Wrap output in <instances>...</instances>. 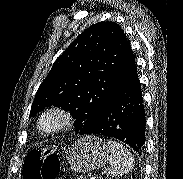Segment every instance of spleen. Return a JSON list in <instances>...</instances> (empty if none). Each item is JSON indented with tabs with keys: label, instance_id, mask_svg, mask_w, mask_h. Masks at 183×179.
<instances>
[{
	"label": "spleen",
	"instance_id": "3e777b00",
	"mask_svg": "<svg viewBox=\"0 0 183 179\" xmlns=\"http://www.w3.org/2000/svg\"><path fill=\"white\" fill-rule=\"evenodd\" d=\"M107 145L110 151L109 174L116 177L131 171L134 167V158L128 149L122 144L111 140L107 142Z\"/></svg>",
	"mask_w": 183,
	"mask_h": 179
}]
</instances>
